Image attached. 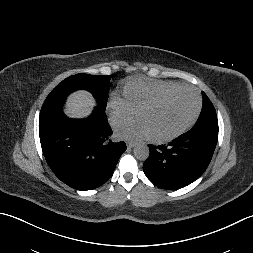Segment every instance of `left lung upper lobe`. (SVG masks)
<instances>
[{
  "instance_id": "obj_1",
  "label": "left lung upper lobe",
  "mask_w": 253,
  "mask_h": 253,
  "mask_svg": "<svg viewBox=\"0 0 253 253\" xmlns=\"http://www.w3.org/2000/svg\"><path fill=\"white\" fill-rule=\"evenodd\" d=\"M203 96L205 104L195 126H209L211 128L218 129V120L215 108L205 93H203Z\"/></svg>"
}]
</instances>
